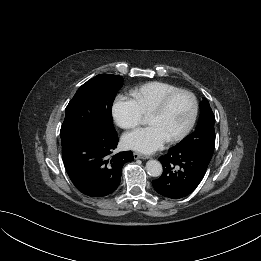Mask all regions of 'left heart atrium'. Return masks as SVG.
I'll return each mask as SVG.
<instances>
[{"label": "left heart atrium", "instance_id": "39dd6f15", "mask_svg": "<svg viewBox=\"0 0 261 261\" xmlns=\"http://www.w3.org/2000/svg\"><path fill=\"white\" fill-rule=\"evenodd\" d=\"M167 140V135L157 125L138 128L123 136V144L126 148L145 154L162 148Z\"/></svg>", "mask_w": 261, "mask_h": 261}]
</instances>
